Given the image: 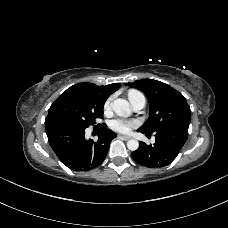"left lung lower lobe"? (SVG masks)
<instances>
[{
    "label": "left lung lower lobe",
    "mask_w": 228,
    "mask_h": 228,
    "mask_svg": "<svg viewBox=\"0 0 228 228\" xmlns=\"http://www.w3.org/2000/svg\"><path fill=\"white\" fill-rule=\"evenodd\" d=\"M188 127L189 124H174L160 129L155 132L154 145L141 142L140 147L131 153L133 160L149 168L169 165L185 144L188 138ZM142 133L146 134V132Z\"/></svg>",
    "instance_id": "1"
}]
</instances>
